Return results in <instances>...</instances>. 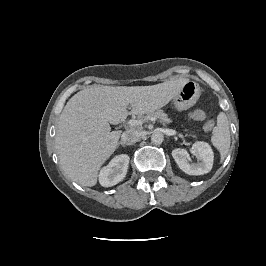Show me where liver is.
<instances>
[{
  "label": "liver",
  "instance_id": "liver-1",
  "mask_svg": "<svg viewBox=\"0 0 266 266\" xmlns=\"http://www.w3.org/2000/svg\"><path fill=\"white\" fill-rule=\"evenodd\" d=\"M186 81L178 78L131 87L91 85L72 96L59 117L55 136L65 175L82 186L96 185L98 172L121 135V131H111L109 123L119 124L129 114L144 115L162 108Z\"/></svg>",
  "mask_w": 266,
  "mask_h": 266
}]
</instances>
